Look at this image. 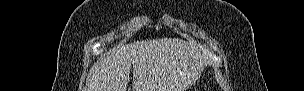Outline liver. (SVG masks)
Segmentation results:
<instances>
[{"instance_id":"liver-1","label":"liver","mask_w":304,"mask_h":91,"mask_svg":"<svg viewBox=\"0 0 304 91\" xmlns=\"http://www.w3.org/2000/svg\"><path fill=\"white\" fill-rule=\"evenodd\" d=\"M206 55L193 44L161 38L112 49L92 67L86 91H126L133 65L132 91H185L201 76Z\"/></svg>"}]
</instances>
